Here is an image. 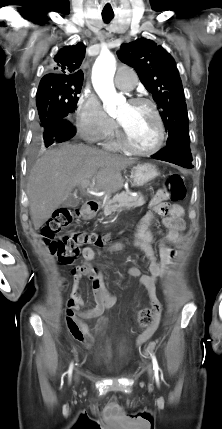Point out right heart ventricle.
I'll return each mask as SVG.
<instances>
[{
	"label": "right heart ventricle",
	"mask_w": 222,
	"mask_h": 429,
	"mask_svg": "<svg viewBox=\"0 0 222 429\" xmlns=\"http://www.w3.org/2000/svg\"><path fill=\"white\" fill-rule=\"evenodd\" d=\"M120 146L119 140H112L107 143V147L109 148H118Z\"/></svg>",
	"instance_id": "1"
}]
</instances>
